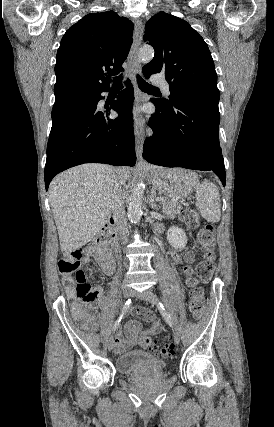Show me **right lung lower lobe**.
<instances>
[{
  "instance_id": "obj_1",
  "label": "right lung lower lobe",
  "mask_w": 274,
  "mask_h": 427,
  "mask_svg": "<svg viewBox=\"0 0 274 427\" xmlns=\"http://www.w3.org/2000/svg\"><path fill=\"white\" fill-rule=\"evenodd\" d=\"M123 94L110 108L120 116L109 119L110 110H99L101 93L75 103L53 108L47 145L45 187L59 172L83 163L133 166L136 162L133 134V86L129 80Z\"/></svg>"
}]
</instances>
